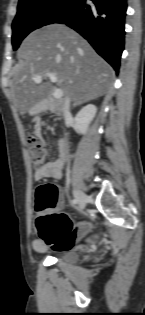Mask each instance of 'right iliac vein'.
<instances>
[{"instance_id":"63e3f726","label":"right iliac vein","mask_w":145,"mask_h":315,"mask_svg":"<svg viewBox=\"0 0 145 315\" xmlns=\"http://www.w3.org/2000/svg\"><path fill=\"white\" fill-rule=\"evenodd\" d=\"M74 197L77 200L79 207L83 209L86 206V203L88 201V197L79 189L73 190Z\"/></svg>"}]
</instances>
